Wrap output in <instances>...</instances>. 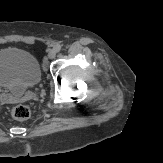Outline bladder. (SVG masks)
<instances>
[{
    "instance_id": "bladder-1",
    "label": "bladder",
    "mask_w": 163,
    "mask_h": 163,
    "mask_svg": "<svg viewBox=\"0 0 163 163\" xmlns=\"http://www.w3.org/2000/svg\"><path fill=\"white\" fill-rule=\"evenodd\" d=\"M40 79L41 68L34 55L18 48L0 50V88L21 93Z\"/></svg>"
}]
</instances>
